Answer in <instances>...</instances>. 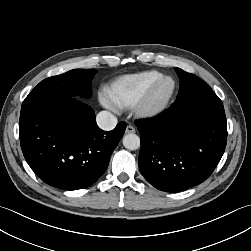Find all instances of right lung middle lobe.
Segmentation results:
<instances>
[{"mask_svg":"<svg viewBox=\"0 0 251 251\" xmlns=\"http://www.w3.org/2000/svg\"><path fill=\"white\" fill-rule=\"evenodd\" d=\"M97 73L96 69H74L64 74L41 81L31 93H50L74 97L91 95L90 83Z\"/></svg>","mask_w":251,"mask_h":251,"instance_id":"obj_1","label":"right lung middle lobe"}]
</instances>
